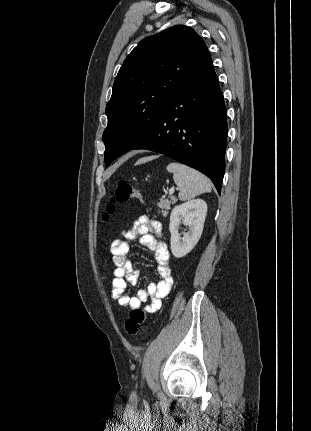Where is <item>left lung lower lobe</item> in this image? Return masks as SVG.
I'll return each instance as SVG.
<instances>
[{"label":"left lung lower lobe","mask_w":311,"mask_h":431,"mask_svg":"<svg viewBox=\"0 0 311 431\" xmlns=\"http://www.w3.org/2000/svg\"><path fill=\"white\" fill-rule=\"evenodd\" d=\"M227 111L209 52L133 149L164 154L208 176L220 194L225 172Z\"/></svg>","instance_id":"left-lung-lower-lobe-1"}]
</instances>
